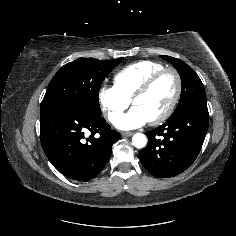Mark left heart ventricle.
<instances>
[{"label": "left heart ventricle", "instance_id": "obj_1", "mask_svg": "<svg viewBox=\"0 0 236 236\" xmlns=\"http://www.w3.org/2000/svg\"><path fill=\"white\" fill-rule=\"evenodd\" d=\"M176 90V81L172 74L162 76L151 90L137 99L133 106L139 108L148 120L160 116L169 106Z\"/></svg>", "mask_w": 236, "mask_h": 236}]
</instances>
